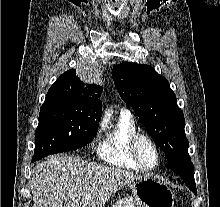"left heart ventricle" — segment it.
<instances>
[{
  "instance_id": "b2bd125f",
  "label": "left heart ventricle",
  "mask_w": 220,
  "mask_h": 207,
  "mask_svg": "<svg viewBox=\"0 0 220 207\" xmlns=\"http://www.w3.org/2000/svg\"><path fill=\"white\" fill-rule=\"evenodd\" d=\"M139 154L147 165H153L156 161V153L153 147L146 140H141L139 142Z\"/></svg>"
}]
</instances>
